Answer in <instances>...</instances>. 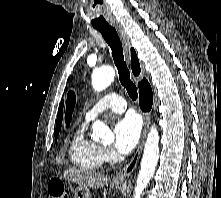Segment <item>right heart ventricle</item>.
I'll list each match as a JSON object with an SVG mask.
<instances>
[{
	"instance_id": "1",
	"label": "right heart ventricle",
	"mask_w": 221,
	"mask_h": 198,
	"mask_svg": "<svg viewBox=\"0 0 221 198\" xmlns=\"http://www.w3.org/2000/svg\"><path fill=\"white\" fill-rule=\"evenodd\" d=\"M87 123L79 126L69 142L71 163L82 170H97L104 163L101 146L86 136Z\"/></svg>"
}]
</instances>
